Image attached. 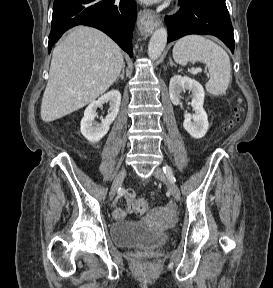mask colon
<instances>
[{
	"label": "colon",
	"mask_w": 273,
	"mask_h": 288,
	"mask_svg": "<svg viewBox=\"0 0 273 288\" xmlns=\"http://www.w3.org/2000/svg\"><path fill=\"white\" fill-rule=\"evenodd\" d=\"M240 113H241V109L238 108L233 119L229 121L228 128L233 127L239 121ZM147 208H148V203L144 199H136L134 201L133 209L137 214L139 215L144 214L147 211Z\"/></svg>",
	"instance_id": "colon-1"
}]
</instances>
